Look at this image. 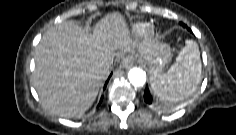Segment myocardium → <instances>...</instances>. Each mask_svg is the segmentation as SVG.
<instances>
[{"label": "myocardium", "instance_id": "obj_1", "mask_svg": "<svg viewBox=\"0 0 236 135\" xmlns=\"http://www.w3.org/2000/svg\"><path fill=\"white\" fill-rule=\"evenodd\" d=\"M155 32V27L153 25H149L148 28H147V34L148 36H151L153 35Z\"/></svg>", "mask_w": 236, "mask_h": 135}]
</instances>
